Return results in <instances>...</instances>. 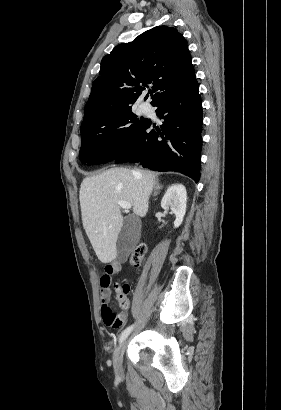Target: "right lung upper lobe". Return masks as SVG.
Masks as SVG:
<instances>
[{
	"label": "right lung upper lobe",
	"mask_w": 281,
	"mask_h": 410,
	"mask_svg": "<svg viewBox=\"0 0 281 410\" xmlns=\"http://www.w3.org/2000/svg\"><path fill=\"white\" fill-rule=\"evenodd\" d=\"M99 74L86 103L82 124L131 106L147 84L154 85L150 90L153 104L196 80L186 40L168 26L154 27L134 41L116 46L102 59Z\"/></svg>",
	"instance_id": "right-lung-upper-lobe-1"
}]
</instances>
